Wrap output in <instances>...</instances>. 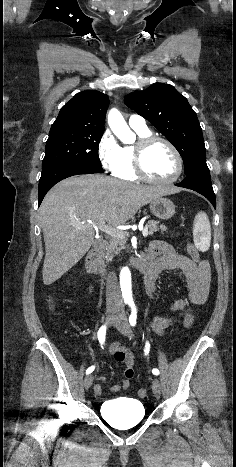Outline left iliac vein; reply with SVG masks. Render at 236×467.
Returning a JSON list of instances; mask_svg holds the SVG:
<instances>
[{
  "label": "left iliac vein",
  "instance_id": "left-iliac-vein-1",
  "mask_svg": "<svg viewBox=\"0 0 236 467\" xmlns=\"http://www.w3.org/2000/svg\"><path fill=\"white\" fill-rule=\"evenodd\" d=\"M114 326L117 328L120 333L126 337H132V330L127 320V315L123 311L121 312L113 322ZM152 390L156 397H159L161 394V383L157 378L152 379Z\"/></svg>",
  "mask_w": 236,
  "mask_h": 467
}]
</instances>
